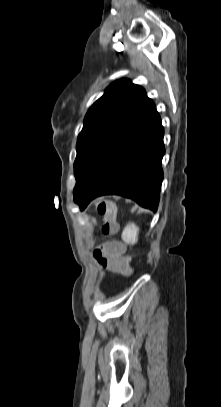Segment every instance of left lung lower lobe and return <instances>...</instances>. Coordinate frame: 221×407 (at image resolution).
Wrapping results in <instances>:
<instances>
[{"instance_id": "left-lung-lower-lobe-1", "label": "left lung lower lobe", "mask_w": 221, "mask_h": 407, "mask_svg": "<svg viewBox=\"0 0 221 407\" xmlns=\"http://www.w3.org/2000/svg\"><path fill=\"white\" fill-rule=\"evenodd\" d=\"M163 136L160 116L149 99L74 195L80 209L98 196L117 194L156 211L163 180Z\"/></svg>"}]
</instances>
